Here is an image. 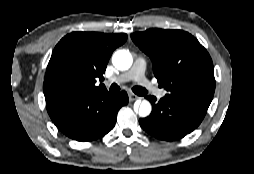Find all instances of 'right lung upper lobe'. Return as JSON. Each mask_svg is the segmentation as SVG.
Instances as JSON below:
<instances>
[{"mask_svg": "<svg viewBox=\"0 0 254 174\" xmlns=\"http://www.w3.org/2000/svg\"><path fill=\"white\" fill-rule=\"evenodd\" d=\"M127 40L125 33L73 32L55 46L43 83L46 102L61 97L60 92L71 88L77 92H107L103 79L109 58L115 48Z\"/></svg>", "mask_w": 254, "mask_h": 174, "instance_id": "obj_1", "label": "right lung upper lobe"}]
</instances>
